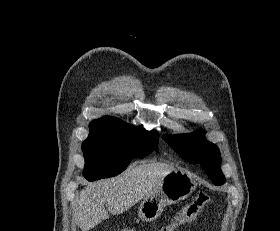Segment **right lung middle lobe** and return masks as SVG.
<instances>
[{
  "instance_id": "obj_1",
  "label": "right lung middle lobe",
  "mask_w": 280,
  "mask_h": 231,
  "mask_svg": "<svg viewBox=\"0 0 280 231\" xmlns=\"http://www.w3.org/2000/svg\"><path fill=\"white\" fill-rule=\"evenodd\" d=\"M88 138L82 144L84 176L89 181L116 176L132 157L144 158L158 152L159 134L119 120H93Z\"/></svg>"
}]
</instances>
